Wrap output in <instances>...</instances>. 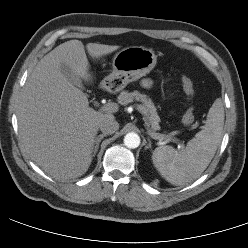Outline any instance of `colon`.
Listing matches in <instances>:
<instances>
[{"label": "colon", "mask_w": 248, "mask_h": 248, "mask_svg": "<svg viewBox=\"0 0 248 248\" xmlns=\"http://www.w3.org/2000/svg\"><path fill=\"white\" fill-rule=\"evenodd\" d=\"M182 86L187 95L192 96L194 94L193 83L189 78L182 79ZM182 122L184 125L189 126L194 122V111L193 108H189L182 117Z\"/></svg>", "instance_id": "1"}]
</instances>
